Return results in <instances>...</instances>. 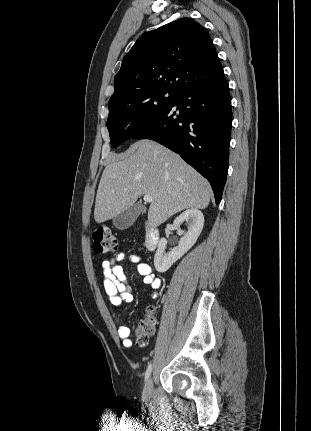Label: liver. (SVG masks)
Returning <instances> with one entry per match:
<instances>
[{
  "instance_id": "liver-1",
  "label": "liver",
  "mask_w": 311,
  "mask_h": 431,
  "mask_svg": "<svg viewBox=\"0 0 311 431\" xmlns=\"http://www.w3.org/2000/svg\"><path fill=\"white\" fill-rule=\"evenodd\" d=\"M211 186L178 154L151 140H139L125 154L114 156L99 182L94 219L103 223L134 206L140 196H152L150 227L187 208L205 210Z\"/></svg>"
}]
</instances>
